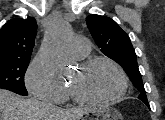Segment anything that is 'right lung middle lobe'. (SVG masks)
<instances>
[{"label":"right lung middle lobe","mask_w":165,"mask_h":120,"mask_svg":"<svg viewBox=\"0 0 165 120\" xmlns=\"http://www.w3.org/2000/svg\"><path fill=\"white\" fill-rule=\"evenodd\" d=\"M30 59L0 58V88L20 95H28L24 75Z\"/></svg>","instance_id":"obj_1"}]
</instances>
